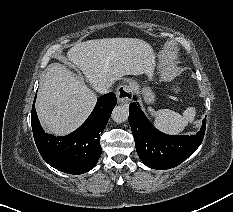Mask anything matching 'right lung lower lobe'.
<instances>
[{
    "label": "right lung lower lobe",
    "mask_w": 233,
    "mask_h": 212,
    "mask_svg": "<svg viewBox=\"0 0 233 212\" xmlns=\"http://www.w3.org/2000/svg\"><path fill=\"white\" fill-rule=\"evenodd\" d=\"M116 102V96L112 92L99 97L87 120L77 130L62 137L43 131L33 104L32 130L43 159L53 168L69 174H82L93 169L102 153L100 134L104 131Z\"/></svg>",
    "instance_id": "1"
}]
</instances>
